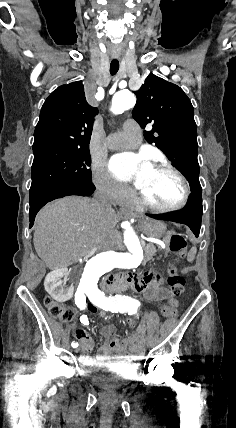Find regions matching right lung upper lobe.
<instances>
[{
    "label": "right lung upper lobe",
    "instance_id": "1",
    "mask_svg": "<svg viewBox=\"0 0 236 428\" xmlns=\"http://www.w3.org/2000/svg\"><path fill=\"white\" fill-rule=\"evenodd\" d=\"M97 113L86 101L82 81L58 87L42 106L33 150L88 146Z\"/></svg>",
    "mask_w": 236,
    "mask_h": 428
}]
</instances>
